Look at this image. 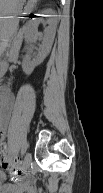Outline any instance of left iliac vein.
<instances>
[{
    "instance_id": "left-iliac-vein-1",
    "label": "left iliac vein",
    "mask_w": 103,
    "mask_h": 193,
    "mask_svg": "<svg viewBox=\"0 0 103 193\" xmlns=\"http://www.w3.org/2000/svg\"><path fill=\"white\" fill-rule=\"evenodd\" d=\"M31 161H32V155L31 153H27L25 155L24 164H23L25 169L29 168Z\"/></svg>"
}]
</instances>
